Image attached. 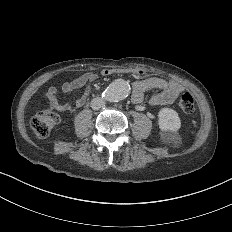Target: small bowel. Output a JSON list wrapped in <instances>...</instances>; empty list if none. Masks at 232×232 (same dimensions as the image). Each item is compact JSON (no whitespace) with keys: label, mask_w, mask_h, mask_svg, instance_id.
Returning a JSON list of instances; mask_svg holds the SVG:
<instances>
[{"label":"small bowel","mask_w":232,"mask_h":232,"mask_svg":"<svg viewBox=\"0 0 232 232\" xmlns=\"http://www.w3.org/2000/svg\"><path fill=\"white\" fill-rule=\"evenodd\" d=\"M140 71L133 68H113L105 69L102 71V75L105 77L118 76V75H132L138 76ZM96 79V74L88 73L83 78L75 80L72 82H66L62 86V90L65 93H70L78 88H84L82 96L76 99L74 102H64L60 101L57 97V89L54 86L48 88V95L51 98L52 104L55 108L60 111H74L81 108L86 99L91 94V84ZM133 94L131 96V101L134 103H139L143 100L144 91L147 88H162V91L155 93L151 97L152 104L166 103L173 101L176 96L184 90L182 83L177 81H172L168 84L158 77H150L144 80L133 81Z\"/></svg>","instance_id":"small-bowel-1"}]
</instances>
